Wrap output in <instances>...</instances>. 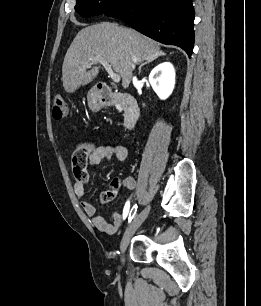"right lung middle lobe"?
<instances>
[{"instance_id":"obj_1","label":"right lung middle lobe","mask_w":261,"mask_h":306,"mask_svg":"<svg viewBox=\"0 0 261 306\" xmlns=\"http://www.w3.org/2000/svg\"><path fill=\"white\" fill-rule=\"evenodd\" d=\"M128 0H77L75 10L82 17H92L115 9Z\"/></svg>"}]
</instances>
